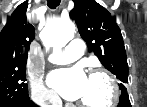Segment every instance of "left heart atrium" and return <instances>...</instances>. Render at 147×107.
Segmentation results:
<instances>
[{
	"label": "left heart atrium",
	"instance_id": "left-heart-atrium-1",
	"mask_svg": "<svg viewBox=\"0 0 147 107\" xmlns=\"http://www.w3.org/2000/svg\"><path fill=\"white\" fill-rule=\"evenodd\" d=\"M87 76L79 67L54 71L48 78L49 85L64 99L78 100L84 93Z\"/></svg>",
	"mask_w": 147,
	"mask_h": 107
}]
</instances>
